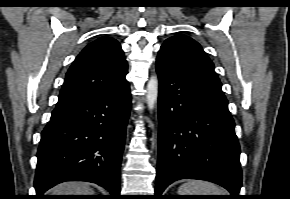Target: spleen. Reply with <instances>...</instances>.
I'll use <instances>...</instances> for the list:
<instances>
[{"label":"spleen","instance_id":"spleen-1","mask_svg":"<svg viewBox=\"0 0 290 199\" xmlns=\"http://www.w3.org/2000/svg\"><path fill=\"white\" fill-rule=\"evenodd\" d=\"M178 195H226L219 186L199 180H191L182 184L178 189Z\"/></svg>","mask_w":290,"mask_h":199}]
</instances>
